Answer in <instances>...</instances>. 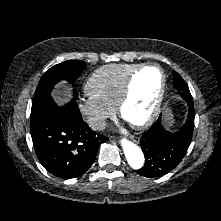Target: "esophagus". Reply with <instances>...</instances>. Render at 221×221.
Masks as SVG:
<instances>
[{
    "mask_svg": "<svg viewBox=\"0 0 221 221\" xmlns=\"http://www.w3.org/2000/svg\"><path fill=\"white\" fill-rule=\"evenodd\" d=\"M130 139L137 144L140 142V138L137 136L130 135Z\"/></svg>",
    "mask_w": 221,
    "mask_h": 221,
    "instance_id": "esophagus-1",
    "label": "esophagus"
}]
</instances>
